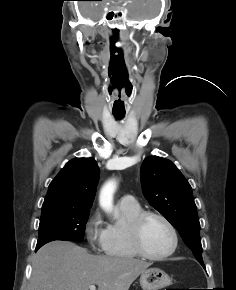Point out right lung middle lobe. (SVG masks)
Wrapping results in <instances>:
<instances>
[{
  "label": "right lung middle lobe",
  "instance_id": "obj_1",
  "mask_svg": "<svg viewBox=\"0 0 236 290\" xmlns=\"http://www.w3.org/2000/svg\"><path fill=\"white\" fill-rule=\"evenodd\" d=\"M90 210L51 209L42 211L36 249L53 240L80 241Z\"/></svg>",
  "mask_w": 236,
  "mask_h": 290
}]
</instances>
